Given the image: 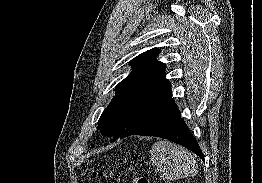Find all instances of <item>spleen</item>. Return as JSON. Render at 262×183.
I'll use <instances>...</instances> for the list:
<instances>
[{
    "instance_id": "3e777b00",
    "label": "spleen",
    "mask_w": 262,
    "mask_h": 183,
    "mask_svg": "<svg viewBox=\"0 0 262 183\" xmlns=\"http://www.w3.org/2000/svg\"><path fill=\"white\" fill-rule=\"evenodd\" d=\"M150 161L161 169V178L167 181L192 176L197 169L196 161L189 151L168 141L153 144Z\"/></svg>"
}]
</instances>
